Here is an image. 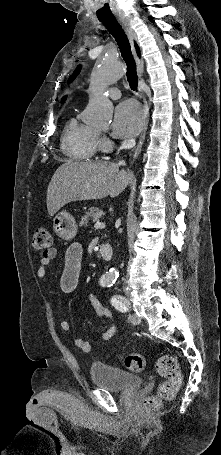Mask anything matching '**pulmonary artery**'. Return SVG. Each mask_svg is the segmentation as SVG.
I'll return each instance as SVG.
<instances>
[{"label": "pulmonary artery", "instance_id": "obj_1", "mask_svg": "<svg viewBox=\"0 0 221 455\" xmlns=\"http://www.w3.org/2000/svg\"><path fill=\"white\" fill-rule=\"evenodd\" d=\"M107 92L111 99H118L121 96L119 89L115 87L109 88Z\"/></svg>", "mask_w": 221, "mask_h": 455}]
</instances>
